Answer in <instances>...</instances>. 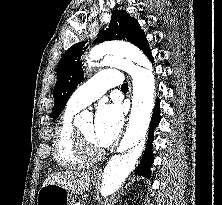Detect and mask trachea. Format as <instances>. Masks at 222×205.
Wrapping results in <instances>:
<instances>
[{"instance_id":"3493384b","label":"trachea","mask_w":222,"mask_h":205,"mask_svg":"<svg viewBox=\"0 0 222 205\" xmlns=\"http://www.w3.org/2000/svg\"><path fill=\"white\" fill-rule=\"evenodd\" d=\"M121 90H128V84H127V83H124V84L121 86Z\"/></svg>"}]
</instances>
